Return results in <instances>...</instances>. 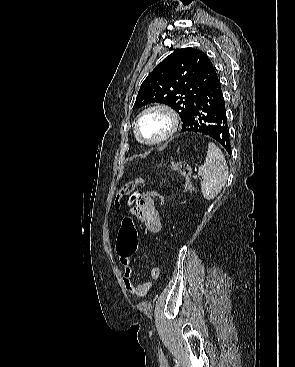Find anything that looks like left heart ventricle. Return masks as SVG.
Returning <instances> with one entry per match:
<instances>
[{
    "instance_id": "1",
    "label": "left heart ventricle",
    "mask_w": 295,
    "mask_h": 367,
    "mask_svg": "<svg viewBox=\"0 0 295 367\" xmlns=\"http://www.w3.org/2000/svg\"><path fill=\"white\" fill-rule=\"evenodd\" d=\"M169 128L167 117L160 112H152L142 118L139 124L141 136L147 140L161 137Z\"/></svg>"
}]
</instances>
